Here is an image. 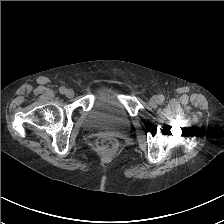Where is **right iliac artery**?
Here are the masks:
<instances>
[{"label":"right iliac artery","instance_id":"1","mask_svg":"<svg viewBox=\"0 0 224 224\" xmlns=\"http://www.w3.org/2000/svg\"><path fill=\"white\" fill-rule=\"evenodd\" d=\"M59 91L61 94H65L66 93V88L64 86L59 88Z\"/></svg>","mask_w":224,"mask_h":224}]
</instances>
